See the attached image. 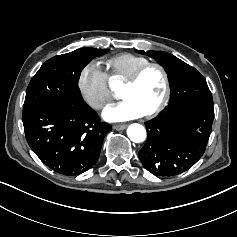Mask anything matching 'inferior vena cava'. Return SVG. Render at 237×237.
I'll list each match as a JSON object with an SVG mask.
<instances>
[{
    "mask_svg": "<svg viewBox=\"0 0 237 237\" xmlns=\"http://www.w3.org/2000/svg\"><path fill=\"white\" fill-rule=\"evenodd\" d=\"M104 103H105L104 101L97 102L96 103V107L100 108V107H102L104 105Z\"/></svg>",
    "mask_w": 237,
    "mask_h": 237,
    "instance_id": "602c4592",
    "label": "inferior vena cava"
}]
</instances>
